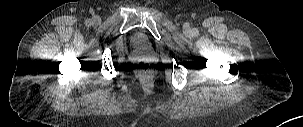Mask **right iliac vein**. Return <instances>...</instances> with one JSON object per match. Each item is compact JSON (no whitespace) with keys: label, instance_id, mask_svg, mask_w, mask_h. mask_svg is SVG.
Segmentation results:
<instances>
[{"label":"right iliac vein","instance_id":"1","mask_svg":"<svg viewBox=\"0 0 303 127\" xmlns=\"http://www.w3.org/2000/svg\"><path fill=\"white\" fill-rule=\"evenodd\" d=\"M100 22H101V19L98 16L93 18V23L94 24L98 25Z\"/></svg>","mask_w":303,"mask_h":127}]
</instances>
